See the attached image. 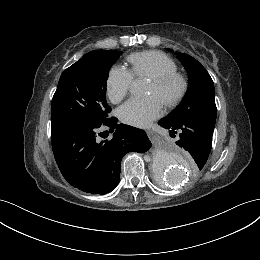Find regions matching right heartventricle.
<instances>
[{
  "label": "right heart ventricle",
  "instance_id": "1",
  "mask_svg": "<svg viewBox=\"0 0 260 260\" xmlns=\"http://www.w3.org/2000/svg\"><path fill=\"white\" fill-rule=\"evenodd\" d=\"M129 71L133 77L152 78L165 73L176 72L175 62L159 51H144L131 54L127 58Z\"/></svg>",
  "mask_w": 260,
  "mask_h": 260
}]
</instances>
